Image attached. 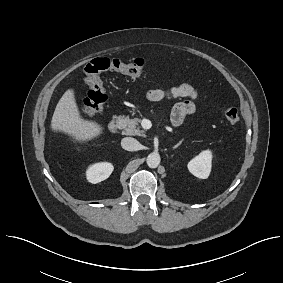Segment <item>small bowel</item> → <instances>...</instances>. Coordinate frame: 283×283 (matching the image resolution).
Segmentation results:
<instances>
[{
    "mask_svg": "<svg viewBox=\"0 0 283 283\" xmlns=\"http://www.w3.org/2000/svg\"><path fill=\"white\" fill-rule=\"evenodd\" d=\"M146 97L152 102H158L168 98H187V100L176 104L171 113V124L175 127L180 126L187 115L196 113L195 101L198 99V93L195 88L189 84L183 83L170 89H151Z\"/></svg>",
    "mask_w": 283,
    "mask_h": 283,
    "instance_id": "obj_1",
    "label": "small bowel"
}]
</instances>
